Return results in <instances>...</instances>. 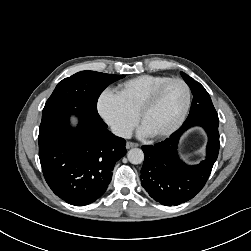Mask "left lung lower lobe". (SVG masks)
<instances>
[{"label": "left lung lower lobe", "instance_id": "obj_1", "mask_svg": "<svg viewBox=\"0 0 251 251\" xmlns=\"http://www.w3.org/2000/svg\"><path fill=\"white\" fill-rule=\"evenodd\" d=\"M193 126H201L208 135L206 159L189 166L179 159L177 145L181 135ZM219 119H195L184 124L166 140L142 146L145 160L141 184L149 195L166 206L192 199L204 187L219 152Z\"/></svg>", "mask_w": 251, "mask_h": 251}]
</instances>
